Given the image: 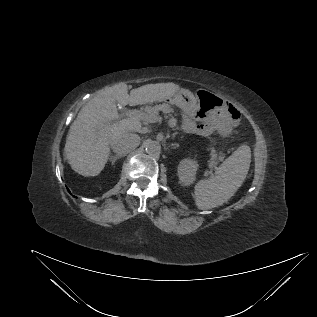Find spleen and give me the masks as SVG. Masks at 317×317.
<instances>
[{
	"label": "spleen",
	"instance_id": "spleen-1",
	"mask_svg": "<svg viewBox=\"0 0 317 317\" xmlns=\"http://www.w3.org/2000/svg\"><path fill=\"white\" fill-rule=\"evenodd\" d=\"M251 162V150L240 146L207 180L195 185L194 198L201 210L212 209L229 200L246 178Z\"/></svg>",
	"mask_w": 317,
	"mask_h": 317
}]
</instances>
